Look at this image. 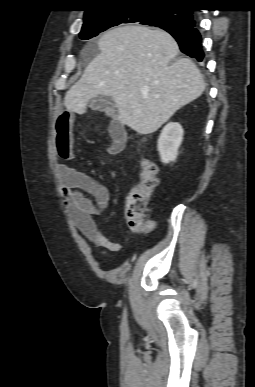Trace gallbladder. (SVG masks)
<instances>
[{
  "mask_svg": "<svg viewBox=\"0 0 255 387\" xmlns=\"http://www.w3.org/2000/svg\"><path fill=\"white\" fill-rule=\"evenodd\" d=\"M90 107L94 110L105 111L113 108V99L106 96H99L92 99Z\"/></svg>",
  "mask_w": 255,
  "mask_h": 387,
  "instance_id": "1",
  "label": "gallbladder"
}]
</instances>
